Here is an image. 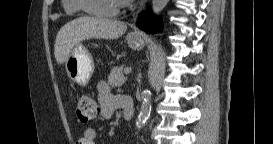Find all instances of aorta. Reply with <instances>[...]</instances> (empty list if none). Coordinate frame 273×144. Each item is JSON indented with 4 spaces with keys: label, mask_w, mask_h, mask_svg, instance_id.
Wrapping results in <instances>:
<instances>
[{
    "label": "aorta",
    "mask_w": 273,
    "mask_h": 144,
    "mask_svg": "<svg viewBox=\"0 0 273 144\" xmlns=\"http://www.w3.org/2000/svg\"><path fill=\"white\" fill-rule=\"evenodd\" d=\"M168 0H152V11L158 15L166 7ZM151 113V92L146 89L142 92V103L137 117L136 126L142 128Z\"/></svg>",
    "instance_id": "obj_1"
}]
</instances>
